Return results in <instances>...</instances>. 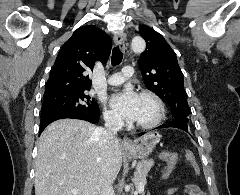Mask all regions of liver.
Wrapping results in <instances>:
<instances>
[{
    "instance_id": "liver-1",
    "label": "liver",
    "mask_w": 240,
    "mask_h": 195,
    "mask_svg": "<svg viewBox=\"0 0 240 195\" xmlns=\"http://www.w3.org/2000/svg\"><path fill=\"white\" fill-rule=\"evenodd\" d=\"M96 129L83 119L47 125L39 137L35 195H99L104 181L113 183L124 147L120 141L100 147Z\"/></svg>"
}]
</instances>
